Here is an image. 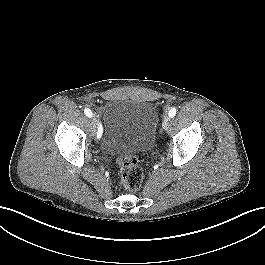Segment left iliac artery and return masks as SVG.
<instances>
[{
  "label": "left iliac artery",
  "mask_w": 265,
  "mask_h": 265,
  "mask_svg": "<svg viewBox=\"0 0 265 265\" xmlns=\"http://www.w3.org/2000/svg\"><path fill=\"white\" fill-rule=\"evenodd\" d=\"M175 114H176V108H171L170 110H169V113H168V115H169V117H174L175 116Z\"/></svg>",
  "instance_id": "44dca946"
}]
</instances>
